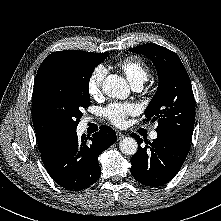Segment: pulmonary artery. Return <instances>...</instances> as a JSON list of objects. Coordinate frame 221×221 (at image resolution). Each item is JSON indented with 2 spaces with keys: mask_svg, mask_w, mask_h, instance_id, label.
I'll list each match as a JSON object with an SVG mask.
<instances>
[{
  "mask_svg": "<svg viewBox=\"0 0 221 221\" xmlns=\"http://www.w3.org/2000/svg\"><path fill=\"white\" fill-rule=\"evenodd\" d=\"M133 88L135 90L139 91L142 88V86L134 85ZM149 136H150V139L155 140L157 138L158 134L156 131H152Z\"/></svg>",
  "mask_w": 221,
  "mask_h": 221,
  "instance_id": "e3ab8cb5",
  "label": "pulmonary artery"
}]
</instances>
